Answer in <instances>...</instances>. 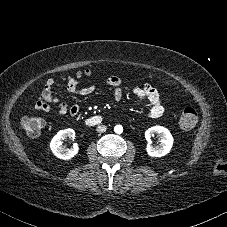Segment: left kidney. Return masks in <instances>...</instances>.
Returning <instances> with one entry per match:
<instances>
[{"instance_id": "5707ae66", "label": "left kidney", "mask_w": 227, "mask_h": 227, "mask_svg": "<svg viewBox=\"0 0 227 227\" xmlns=\"http://www.w3.org/2000/svg\"><path fill=\"white\" fill-rule=\"evenodd\" d=\"M155 134L160 137V145L153 147L151 146V137ZM145 138L148 141L146 151L148 155L152 157H162L168 154L172 148L174 139L170 131L163 126H153L146 130Z\"/></svg>"}]
</instances>
